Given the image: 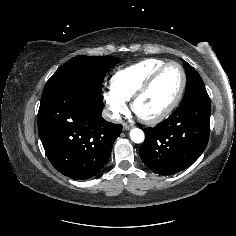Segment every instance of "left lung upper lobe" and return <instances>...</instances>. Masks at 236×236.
<instances>
[{"label": "left lung upper lobe", "mask_w": 236, "mask_h": 236, "mask_svg": "<svg viewBox=\"0 0 236 236\" xmlns=\"http://www.w3.org/2000/svg\"><path fill=\"white\" fill-rule=\"evenodd\" d=\"M183 65L187 74V84L182 103L193 97L207 94L204 82L199 73L184 60Z\"/></svg>", "instance_id": "5c2ea615"}]
</instances>
